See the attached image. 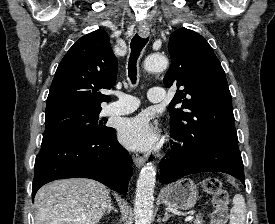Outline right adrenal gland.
Wrapping results in <instances>:
<instances>
[{
	"label": "right adrenal gland",
	"instance_id": "1",
	"mask_svg": "<svg viewBox=\"0 0 275 224\" xmlns=\"http://www.w3.org/2000/svg\"><path fill=\"white\" fill-rule=\"evenodd\" d=\"M111 211H114L115 213H117V210L110 203L107 210H106V214H109Z\"/></svg>",
	"mask_w": 275,
	"mask_h": 224
}]
</instances>
